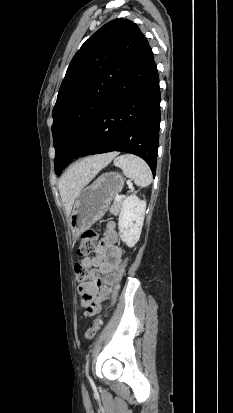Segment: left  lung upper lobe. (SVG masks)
Wrapping results in <instances>:
<instances>
[{"label":"left lung upper lobe","mask_w":233,"mask_h":413,"mask_svg":"<svg viewBox=\"0 0 233 413\" xmlns=\"http://www.w3.org/2000/svg\"><path fill=\"white\" fill-rule=\"evenodd\" d=\"M144 40L135 23L115 19L96 31L73 57L52 112L57 175L83 145Z\"/></svg>","instance_id":"obj_1"}]
</instances>
